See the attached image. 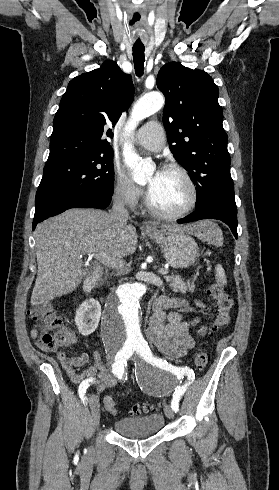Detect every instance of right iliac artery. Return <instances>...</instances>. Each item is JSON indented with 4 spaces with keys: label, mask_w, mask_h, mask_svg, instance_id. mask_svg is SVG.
<instances>
[{
    "label": "right iliac artery",
    "mask_w": 279,
    "mask_h": 490,
    "mask_svg": "<svg viewBox=\"0 0 279 490\" xmlns=\"http://www.w3.org/2000/svg\"><path fill=\"white\" fill-rule=\"evenodd\" d=\"M110 359H111V364H112V372L114 374L120 375L124 371V365L126 361L129 359V354L128 352H111L110 354ZM93 378L92 377H86L85 380L81 381V385L79 387V396L81 400L85 401V392L88 390L89 386L92 384L89 382H92Z\"/></svg>",
    "instance_id": "1"
}]
</instances>
